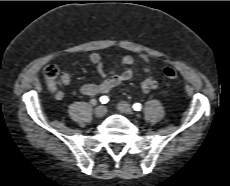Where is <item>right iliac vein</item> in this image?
Returning <instances> with one entry per match:
<instances>
[{
  "label": "right iliac vein",
  "instance_id": "63e3f726",
  "mask_svg": "<svg viewBox=\"0 0 230 186\" xmlns=\"http://www.w3.org/2000/svg\"><path fill=\"white\" fill-rule=\"evenodd\" d=\"M107 112V109L104 105H99L95 108L94 114L96 117H103Z\"/></svg>",
  "mask_w": 230,
  "mask_h": 186
}]
</instances>
